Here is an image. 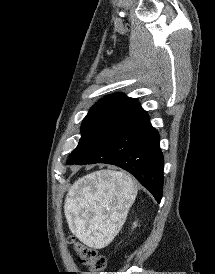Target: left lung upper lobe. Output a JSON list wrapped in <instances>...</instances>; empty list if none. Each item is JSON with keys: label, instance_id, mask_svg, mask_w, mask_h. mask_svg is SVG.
<instances>
[{"label": "left lung upper lobe", "instance_id": "1", "mask_svg": "<svg viewBox=\"0 0 215 274\" xmlns=\"http://www.w3.org/2000/svg\"><path fill=\"white\" fill-rule=\"evenodd\" d=\"M142 110L136 99L125 95L113 94L101 99L83 119L81 138L68 162L83 159L117 127Z\"/></svg>", "mask_w": 215, "mask_h": 274}]
</instances>
